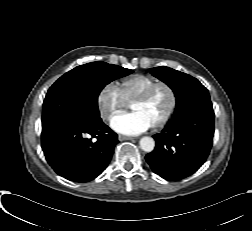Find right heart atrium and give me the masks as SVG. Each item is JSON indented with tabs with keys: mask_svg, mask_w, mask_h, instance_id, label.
I'll return each instance as SVG.
<instances>
[{
	"mask_svg": "<svg viewBox=\"0 0 252 231\" xmlns=\"http://www.w3.org/2000/svg\"><path fill=\"white\" fill-rule=\"evenodd\" d=\"M96 103L99 115L104 120L121 112L126 106L119 88L112 82L105 84L97 94Z\"/></svg>",
	"mask_w": 252,
	"mask_h": 231,
	"instance_id": "obj_1",
	"label": "right heart atrium"
}]
</instances>
